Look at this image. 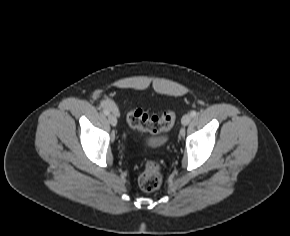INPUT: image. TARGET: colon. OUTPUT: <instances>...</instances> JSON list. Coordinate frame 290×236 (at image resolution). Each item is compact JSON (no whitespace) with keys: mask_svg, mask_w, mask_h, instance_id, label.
<instances>
[{"mask_svg":"<svg viewBox=\"0 0 290 236\" xmlns=\"http://www.w3.org/2000/svg\"><path fill=\"white\" fill-rule=\"evenodd\" d=\"M127 121L133 128L160 133L168 131L174 124L175 115L172 111H166L161 116H149L141 109H131L127 114ZM163 182L162 169L157 161H149L145 164L139 176V185L143 191L157 190Z\"/></svg>","mask_w":290,"mask_h":236,"instance_id":"5ec220e1","label":"colon"}]
</instances>
